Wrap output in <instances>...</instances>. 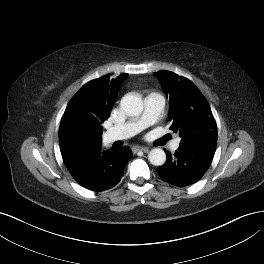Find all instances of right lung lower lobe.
Wrapping results in <instances>:
<instances>
[{"label": "right lung lower lobe", "mask_w": 264, "mask_h": 264, "mask_svg": "<svg viewBox=\"0 0 264 264\" xmlns=\"http://www.w3.org/2000/svg\"><path fill=\"white\" fill-rule=\"evenodd\" d=\"M63 161L72 177L92 191H105L121 180L132 157L129 147L104 150L102 139L60 147Z\"/></svg>", "instance_id": "98d812e1"}]
</instances>
